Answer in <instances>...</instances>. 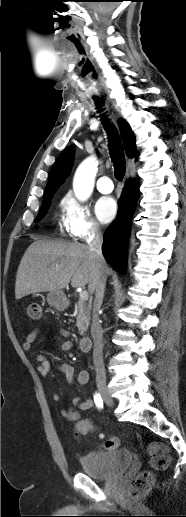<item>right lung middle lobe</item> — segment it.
<instances>
[{"label": "right lung middle lobe", "instance_id": "right-lung-middle-lobe-1", "mask_svg": "<svg viewBox=\"0 0 186 517\" xmlns=\"http://www.w3.org/2000/svg\"><path fill=\"white\" fill-rule=\"evenodd\" d=\"M55 192H51V193H48L46 195H44V199H43V204H42V207L35 219V221H38L40 220L47 212L48 208H49V205H50V201L52 199V196Z\"/></svg>", "mask_w": 186, "mask_h": 517}]
</instances>
